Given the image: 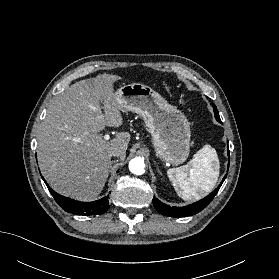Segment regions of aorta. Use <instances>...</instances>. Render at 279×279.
<instances>
[{"instance_id":"obj_1","label":"aorta","mask_w":279,"mask_h":279,"mask_svg":"<svg viewBox=\"0 0 279 279\" xmlns=\"http://www.w3.org/2000/svg\"><path fill=\"white\" fill-rule=\"evenodd\" d=\"M145 164L142 158L137 157L129 162V170L136 175H142L145 172Z\"/></svg>"}]
</instances>
